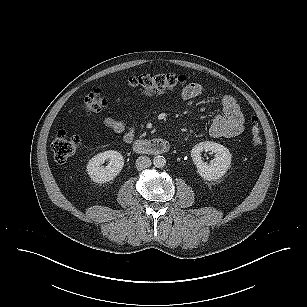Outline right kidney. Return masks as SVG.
<instances>
[{"label": "right kidney", "instance_id": "right-kidney-1", "mask_svg": "<svg viewBox=\"0 0 307 307\" xmlns=\"http://www.w3.org/2000/svg\"><path fill=\"white\" fill-rule=\"evenodd\" d=\"M106 160H110V163L104 167L103 163ZM123 166L124 159L122 154L115 150H108L98 153L89 160L87 172L94 182L106 183L113 180L120 173Z\"/></svg>", "mask_w": 307, "mask_h": 307}]
</instances>
